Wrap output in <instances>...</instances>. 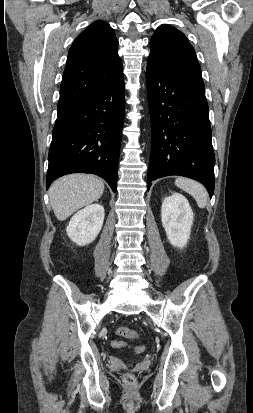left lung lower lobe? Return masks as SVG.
<instances>
[{"instance_id":"1","label":"left lung lower lobe","mask_w":253,"mask_h":413,"mask_svg":"<svg viewBox=\"0 0 253 413\" xmlns=\"http://www.w3.org/2000/svg\"><path fill=\"white\" fill-rule=\"evenodd\" d=\"M152 128L148 190L157 178L179 175L214 192L215 156L205 92L148 59L146 70Z\"/></svg>"}]
</instances>
